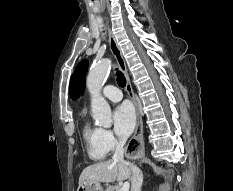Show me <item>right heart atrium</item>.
<instances>
[{"label":"right heart atrium","mask_w":233,"mask_h":191,"mask_svg":"<svg viewBox=\"0 0 233 191\" xmlns=\"http://www.w3.org/2000/svg\"><path fill=\"white\" fill-rule=\"evenodd\" d=\"M100 143L103 149L107 153H110L121 144V140L118 139L112 131L107 129H100Z\"/></svg>","instance_id":"right-heart-atrium-1"}]
</instances>
